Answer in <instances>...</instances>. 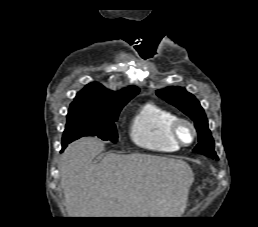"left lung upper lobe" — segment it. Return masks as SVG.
I'll return each mask as SVG.
<instances>
[{"label": "left lung upper lobe", "instance_id": "left-lung-upper-lobe-1", "mask_svg": "<svg viewBox=\"0 0 258 227\" xmlns=\"http://www.w3.org/2000/svg\"><path fill=\"white\" fill-rule=\"evenodd\" d=\"M157 95L180 109L195 122L199 143L193 151L212 158L217 157L214 151V141L208 128V121L199 101L185 89L179 87L158 90Z\"/></svg>", "mask_w": 258, "mask_h": 227}]
</instances>
